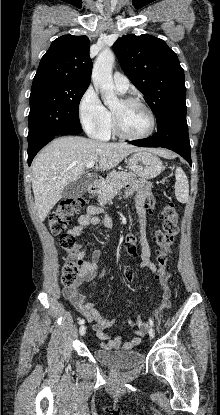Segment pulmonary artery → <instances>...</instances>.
I'll list each match as a JSON object with an SVG mask.
<instances>
[{
  "instance_id": "obj_1",
  "label": "pulmonary artery",
  "mask_w": 220,
  "mask_h": 415,
  "mask_svg": "<svg viewBox=\"0 0 220 415\" xmlns=\"http://www.w3.org/2000/svg\"><path fill=\"white\" fill-rule=\"evenodd\" d=\"M113 81H114V86L115 89L119 92V93H126L128 88H129V80L128 78L119 73V72H115L113 75Z\"/></svg>"
}]
</instances>
